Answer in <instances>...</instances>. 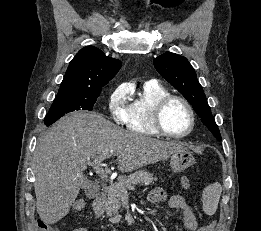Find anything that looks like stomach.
I'll use <instances>...</instances> for the list:
<instances>
[{
  "label": "stomach",
  "mask_w": 261,
  "mask_h": 231,
  "mask_svg": "<svg viewBox=\"0 0 261 231\" xmlns=\"http://www.w3.org/2000/svg\"><path fill=\"white\" fill-rule=\"evenodd\" d=\"M193 164H195V158L187 149L177 151L170 157V166L174 172H181Z\"/></svg>",
  "instance_id": "obj_1"
}]
</instances>
